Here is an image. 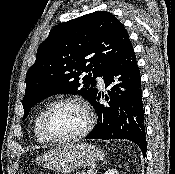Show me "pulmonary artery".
Here are the masks:
<instances>
[{
	"label": "pulmonary artery",
	"mask_w": 175,
	"mask_h": 174,
	"mask_svg": "<svg viewBox=\"0 0 175 174\" xmlns=\"http://www.w3.org/2000/svg\"><path fill=\"white\" fill-rule=\"evenodd\" d=\"M98 83H99V86H100V88H104L105 87V83H104V80H103V78H98Z\"/></svg>",
	"instance_id": "e3ab8cb5"
}]
</instances>
